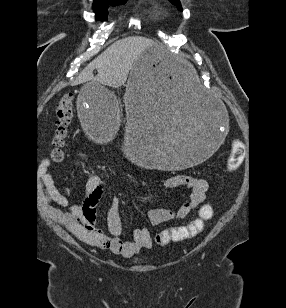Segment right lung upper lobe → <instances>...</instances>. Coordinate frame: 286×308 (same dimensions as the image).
Returning a JSON list of instances; mask_svg holds the SVG:
<instances>
[{
  "instance_id": "obj_1",
  "label": "right lung upper lobe",
  "mask_w": 286,
  "mask_h": 308,
  "mask_svg": "<svg viewBox=\"0 0 286 308\" xmlns=\"http://www.w3.org/2000/svg\"><path fill=\"white\" fill-rule=\"evenodd\" d=\"M113 1H121V0H94V4L101 5V4H107Z\"/></svg>"
}]
</instances>
